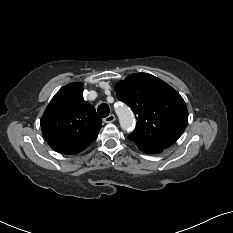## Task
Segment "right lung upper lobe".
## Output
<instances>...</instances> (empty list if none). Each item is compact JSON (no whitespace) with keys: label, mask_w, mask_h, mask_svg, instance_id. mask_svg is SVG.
Returning <instances> with one entry per match:
<instances>
[{"label":"right lung upper lobe","mask_w":233,"mask_h":233,"mask_svg":"<svg viewBox=\"0 0 233 233\" xmlns=\"http://www.w3.org/2000/svg\"><path fill=\"white\" fill-rule=\"evenodd\" d=\"M41 127L51 148L59 153H78L97 138L102 123L95 108L83 99V84L75 82L53 97Z\"/></svg>","instance_id":"obj_1"}]
</instances>
